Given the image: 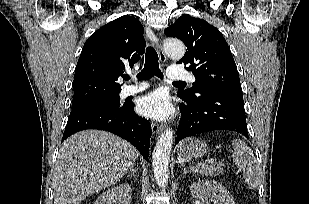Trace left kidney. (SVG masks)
<instances>
[{"label": "left kidney", "mask_w": 309, "mask_h": 204, "mask_svg": "<svg viewBox=\"0 0 309 204\" xmlns=\"http://www.w3.org/2000/svg\"><path fill=\"white\" fill-rule=\"evenodd\" d=\"M194 198H209L213 204H235L230 192L217 181L199 180L191 185Z\"/></svg>", "instance_id": "5707ae66"}]
</instances>
